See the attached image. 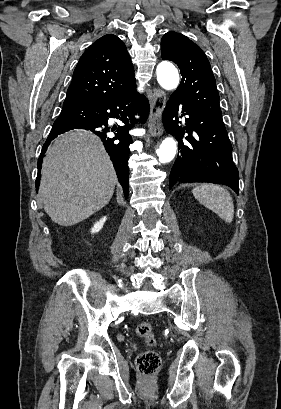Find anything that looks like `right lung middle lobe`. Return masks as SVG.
<instances>
[{"mask_svg":"<svg viewBox=\"0 0 281 409\" xmlns=\"http://www.w3.org/2000/svg\"><path fill=\"white\" fill-rule=\"evenodd\" d=\"M83 120L81 117L77 116H68V117H63L59 116V118L54 122V124H78Z\"/></svg>","mask_w":281,"mask_h":409,"instance_id":"right-lung-middle-lobe-1","label":"right lung middle lobe"}]
</instances>
